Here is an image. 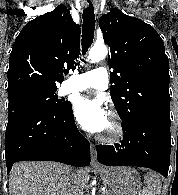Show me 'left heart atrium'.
Returning a JSON list of instances; mask_svg holds the SVG:
<instances>
[{
  "label": "left heart atrium",
  "instance_id": "obj_1",
  "mask_svg": "<svg viewBox=\"0 0 178 195\" xmlns=\"http://www.w3.org/2000/svg\"><path fill=\"white\" fill-rule=\"evenodd\" d=\"M74 114L79 124L87 131L100 133L109 115L103 106L102 100L83 96L74 102Z\"/></svg>",
  "mask_w": 178,
  "mask_h": 195
}]
</instances>
